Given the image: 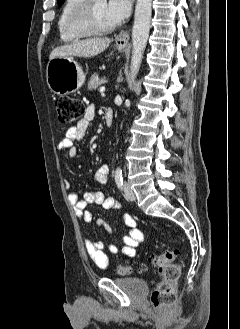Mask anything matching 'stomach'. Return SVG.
<instances>
[{
    "label": "stomach",
    "instance_id": "obj_1",
    "mask_svg": "<svg viewBox=\"0 0 240 329\" xmlns=\"http://www.w3.org/2000/svg\"><path fill=\"white\" fill-rule=\"evenodd\" d=\"M124 51V45H116ZM47 84L56 95L63 96L76 92L85 81V74L78 63L70 56L55 57L48 62Z\"/></svg>",
    "mask_w": 240,
    "mask_h": 329
}]
</instances>
